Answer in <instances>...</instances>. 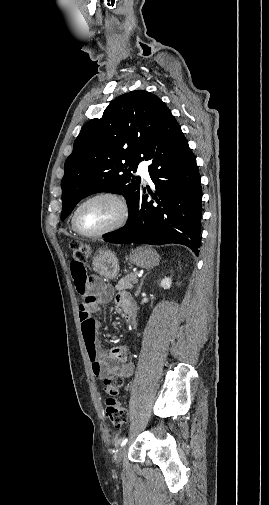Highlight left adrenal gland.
Wrapping results in <instances>:
<instances>
[{
	"mask_svg": "<svg viewBox=\"0 0 269 505\" xmlns=\"http://www.w3.org/2000/svg\"><path fill=\"white\" fill-rule=\"evenodd\" d=\"M148 274H149V273H148ZM145 277H146V275H145V276H143V278L141 279L140 284H139V286L137 287V290H136V292H135V296H138V295L140 294V292H141V288H142V285H143V283H144V279H145Z\"/></svg>",
	"mask_w": 269,
	"mask_h": 505,
	"instance_id": "left-adrenal-gland-1",
	"label": "left adrenal gland"
}]
</instances>
